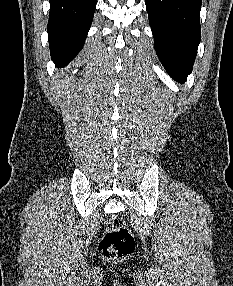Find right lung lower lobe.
<instances>
[{
	"instance_id": "obj_1",
	"label": "right lung lower lobe",
	"mask_w": 233,
	"mask_h": 286,
	"mask_svg": "<svg viewBox=\"0 0 233 286\" xmlns=\"http://www.w3.org/2000/svg\"><path fill=\"white\" fill-rule=\"evenodd\" d=\"M49 2L47 31L51 58L57 67H64L83 47L93 20L96 0Z\"/></svg>"
}]
</instances>
